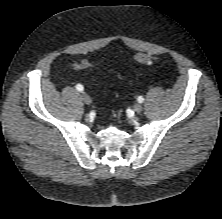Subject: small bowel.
I'll list each match as a JSON object with an SVG mask.
<instances>
[{
  "instance_id": "c3829d8e",
  "label": "small bowel",
  "mask_w": 222,
  "mask_h": 219,
  "mask_svg": "<svg viewBox=\"0 0 222 219\" xmlns=\"http://www.w3.org/2000/svg\"><path fill=\"white\" fill-rule=\"evenodd\" d=\"M92 65L87 60H82L79 62H75L72 64V68L74 70H83V69H89Z\"/></svg>"
}]
</instances>
